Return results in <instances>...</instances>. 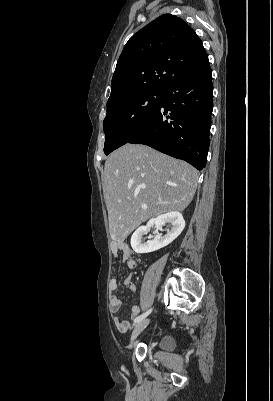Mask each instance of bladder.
I'll return each instance as SVG.
<instances>
[{
  "label": "bladder",
  "instance_id": "bladder-1",
  "mask_svg": "<svg viewBox=\"0 0 273 401\" xmlns=\"http://www.w3.org/2000/svg\"><path fill=\"white\" fill-rule=\"evenodd\" d=\"M174 346L173 340L170 337H164L160 343V348L163 351H170Z\"/></svg>",
  "mask_w": 273,
  "mask_h": 401
}]
</instances>
